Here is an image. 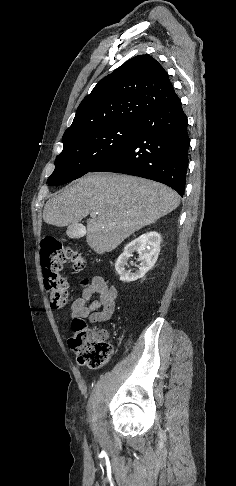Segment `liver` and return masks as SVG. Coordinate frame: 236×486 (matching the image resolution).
Here are the masks:
<instances>
[{"instance_id": "obj_1", "label": "liver", "mask_w": 236, "mask_h": 486, "mask_svg": "<svg viewBox=\"0 0 236 486\" xmlns=\"http://www.w3.org/2000/svg\"><path fill=\"white\" fill-rule=\"evenodd\" d=\"M179 195L161 183L129 175L94 173L50 198L44 222L57 227L87 220V244L98 254L111 252L139 229L175 210Z\"/></svg>"}]
</instances>
